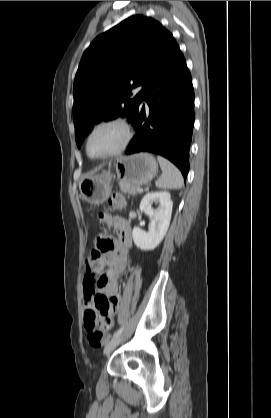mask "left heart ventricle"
<instances>
[{
  "instance_id": "b2bd125f",
  "label": "left heart ventricle",
  "mask_w": 271,
  "mask_h": 418,
  "mask_svg": "<svg viewBox=\"0 0 271 418\" xmlns=\"http://www.w3.org/2000/svg\"><path fill=\"white\" fill-rule=\"evenodd\" d=\"M122 140V132L115 126H107L99 129L90 140V152L92 155H103L115 149Z\"/></svg>"
}]
</instances>
